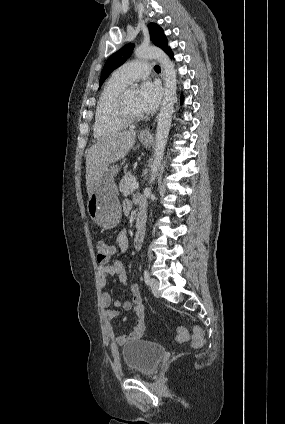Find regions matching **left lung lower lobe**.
Here are the masks:
<instances>
[{"instance_id": "0a47b994", "label": "left lung lower lobe", "mask_w": 285, "mask_h": 424, "mask_svg": "<svg viewBox=\"0 0 285 424\" xmlns=\"http://www.w3.org/2000/svg\"><path fill=\"white\" fill-rule=\"evenodd\" d=\"M165 52L171 57V58H173V53H172V51H171V49L170 48H168L167 50H165Z\"/></svg>"}]
</instances>
